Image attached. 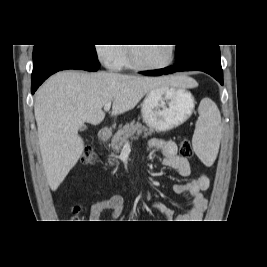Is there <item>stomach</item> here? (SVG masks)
<instances>
[{
    "label": "stomach",
    "instance_id": "stomach-1",
    "mask_svg": "<svg viewBox=\"0 0 267 267\" xmlns=\"http://www.w3.org/2000/svg\"><path fill=\"white\" fill-rule=\"evenodd\" d=\"M195 100L184 87L152 89L141 105L143 121L157 131H168L183 124L192 114Z\"/></svg>",
    "mask_w": 267,
    "mask_h": 267
}]
</instances>
